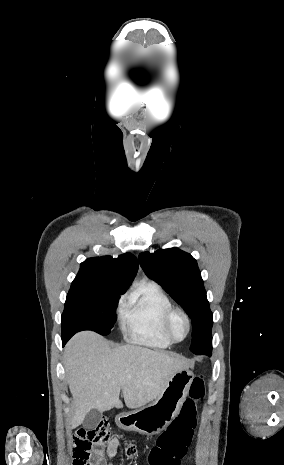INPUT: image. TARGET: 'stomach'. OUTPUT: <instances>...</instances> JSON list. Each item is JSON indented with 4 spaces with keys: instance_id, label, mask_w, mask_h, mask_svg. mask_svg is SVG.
Here are the masks:
<instances>
[{
    "instance_id": "0dacf381",
    "label": "stomach",
    "mask_w": 284,
    "mask_h": 465,
    "mask_svg": "<svg viewBox=\"0 0 284 465\" xmlns=\"http://www.w3.org/2000/svg\"><path fill=\"white\" fill-rule=\"evenodd\" d=\"M193 381V373L189 369L178 371L169 379L162 393L152 405L120 413L115 419L116 425L124 431H136L142 435H158L178 415Z\"/></svg>"
}]
</instances>
